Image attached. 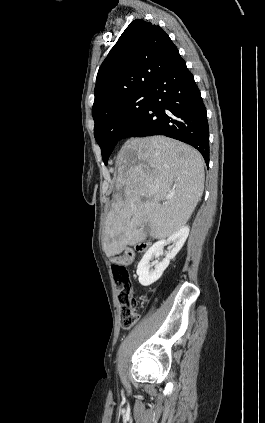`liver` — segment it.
I'll use <instances>...</instances> for the list:
<instances>
[{"instance_id": "1", "label": "liver", "mask_w": 265, "mask_h": 423, "mask_svg": "<svg viewBox=\"0 0 265 423\" xmlns=\"http://www.w3.org/2000/svg\"><path fill=\"white\" fill-rule=\"evenodd\" d=\"M204 164L199 151L168 137L127 140L116 159L117 193L105 222V254L118 255L147 234L164 239L185 226L203 194Z\"/></svg>"}]
</instances>
